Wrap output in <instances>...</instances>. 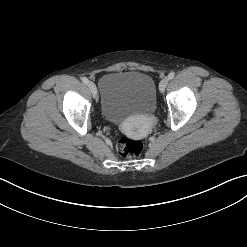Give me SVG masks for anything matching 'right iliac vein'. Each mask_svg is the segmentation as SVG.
<instances>
[{"label":"right iliac vein","instance_id":"1","mask_svg":"<svg viewBox=\"0 0 247 247\" xmlns=\"http://www.w3.org/2000/svg\"><path fill=\"white\" fill-rule=\"evenodd\" d=\"M88 86H89V88H90V91H91L93 97L96 98V97H97V88H96L95 83H93V82L90 81V82L88 83Z\"/></svg>","mask_w":247,"mask_h":247}]
</instances>
